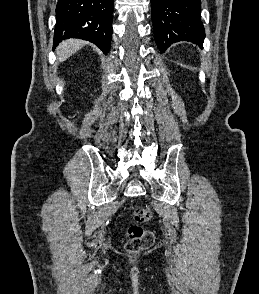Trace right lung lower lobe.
Wrapping results in <instances>:
<instances>
[{
    "label": "right lung lower lobe",
    "mask_w": 259,
    "mask_h": 294,
    "mask_svg": "<svg viewBox=\"0 0 259 294\" xmlns=\"http://www.w3.org/2000/svg\"><path fill=\"white\" fill-rule=\"evenodd\" d=\"M113 0H58L54 47L62 40L79 38L108 53L112 37Z\"/></svg>",
    "instance_id": "98d812e1"
}]
</instances>
